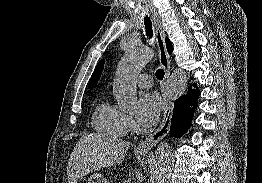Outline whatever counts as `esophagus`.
I'll list each match as a JSON object with an SVG mask.
<instances>
[{
	"label": "esophagus",
	"mask_w": 262,
	"mask_h": 183,
	"mask_svg": "<svg viewBox=\"0 0 262 183\" xmlns=\"http://www.w3.org/2000/svg\"><path fill=\"white\" fill-rule=\"evenodd\" d=\"M152 16L155 23V36L159 50V62L161 67L165 71L164 85L162 87L164 113L162 122L158 129L138 144L137 150L141 152H149L151 148L155 146L167 134L170 128L173 112V103L168 97L165 89L166 83L170 76V57L165 44V31L162 25V21L157 13L153 12Z\"/></svg>",
	"instance_id": "1"
}]
</instances>
